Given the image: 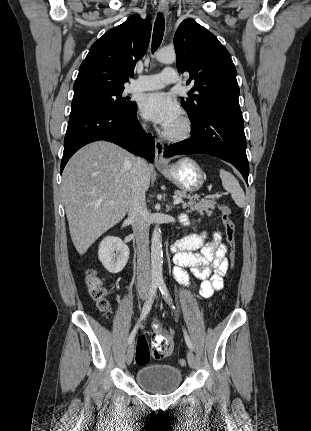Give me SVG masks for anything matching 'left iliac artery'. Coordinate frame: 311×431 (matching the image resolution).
<instances>
[{
	"instance_id": "44dca946",
	"label": "left iliac artery",
	"mask_w": 311,
	"mask_h": 431,
	"mask_svg": "<svg viewBox=\"0 0 311 431\" xmlns=\"http://www.w3.org/2000/svg\"><path fill=\"white\" fill-rule=\"evenodd\" d=\"M158 286H159V290L162 293V295L164 296V299L166 300V302L171 306L172 309L175 310V306L172 303V299H171L170 294L167 290L166 284L163 281H161ZM183 332H184L185 342H186L187 346L192 350L193 345H192V342L190 340V337L188 336L187 332L184 329H183Z\"/></svg>"
}]
</instances>
